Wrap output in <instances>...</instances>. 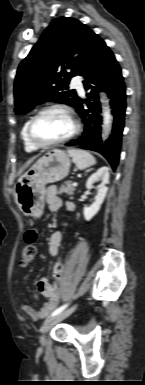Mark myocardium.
I'll use <instances>...</instances> for the list:
<instances>
[{
    "instance_id": "1",
    "label": "myocardium",
    "mask_w": 145,
    "mask_h": 385,
    "mask_svg": "<svg viewBox=\"0 0 145 385\" xmlns=\"http://www.w3.org/2000/svg\"><path fill=\"white\" fill-rule=\"evenodd\" d=\"M50 111H60L63 114H65L69 118V120L71 121L73 128H72L71 132L67 136H65L64 138H61L59 140H56V141H53L50 143H40V142L36 141L34 136H33V127H34L36 120L41 115H43L44 113L50 112ZM80 127L81 126H80L79 120L77 119L76 115L74 114V112L72 111L71 108H69L68 106L63 105V104H53V105L43 107L34 116L31 117V119L29 120L28 125H27L26 135H27V139H28L29 143L34 148H36V149H49V148L64 144V143L68 142L69 140H71L72 138H74L79 133Z\"/></svg>"
}]
</instances>
